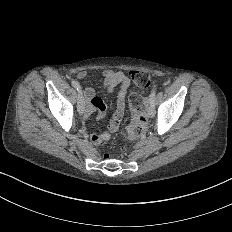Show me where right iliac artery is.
<instances>
[{
	"instance_id": "82829eb1",
	"label": "right iliac artery",
	"mask_w": 232,
	"mask_h": 232,
	"mask_svg": "<svg viewBox=\"0 0 232 232\" xmlns=\"http://www.w3.org/2000/svg\"><path fill=\"white\" fill-rule=\"evenodd\" d=\"M72 85H73V87L78 91V92H82V88H81V86H80V84L77 82V81H75V80H72Z\"/></svg>"
}]
</instances>
